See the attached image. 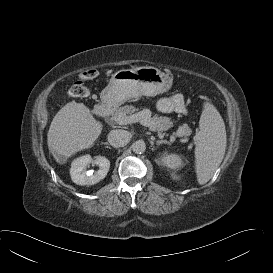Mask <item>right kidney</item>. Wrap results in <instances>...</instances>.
Wrapping results in <instances>:
<instances>
[{"label":"right kidney","mask_w":273,"mask_h":273,"mask_svg":"<svg viewBox=\"0 0 273 273\" xmlns=\"http://www.w3.org/2000/svg\"><path fill=\"white\" fill-rule=\"evenodd\" d=\"M90 163L98 165L99 170L86 171ZM109 168L110 161L106 157L99 156L93 160L90 155H84L72 162L70 175L72 181L78 185H94L106 177Z\"/></svg>","instance_id":"right-kidney-1"}]
</instances>
